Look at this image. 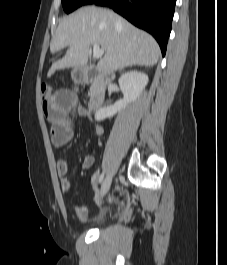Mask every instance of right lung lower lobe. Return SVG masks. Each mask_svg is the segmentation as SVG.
I'll list each match as a JSON object with an SVG mask.
<instances>
[{
  "instance_id": "obj_1",
  "label": "right lung lower lobe",
  "mask_w": 227,
  "mask_h": 265,
  "mask_svg": "<svg viewBox=\"0 0 227 265\" xmlns=\"http://www.w3.org/2000/svg\"><path fill=\"white\" fill-rule=\"evenodd\" d=\"M93 3L111 7L135 26L149 32L165 55L176 0H95Z\"/></svg>"
}]
</instances>
